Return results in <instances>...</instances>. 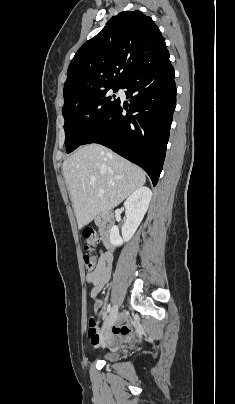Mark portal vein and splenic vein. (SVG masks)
Wrapping results in <instances>:
<instances>
[{
    "label": "portal vein and splenic vein",
    "instance_id": "1",
    "mask_svg": "<svg viewBox=\"0 0 235 404\" xmlns=\"http://www.w3.org/2000/svg\"><path fill=\"white\" fill-rule=\"evenodd\" d=\"M90 180H91L92 182H94V181L96 180V178H95V177H91ZM109 184H113V183L110 182Z\"/></svg>",
    "mask_w": 235,
    "mask_h": 404
}]
</instances>
